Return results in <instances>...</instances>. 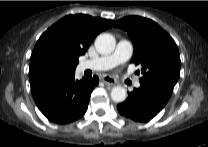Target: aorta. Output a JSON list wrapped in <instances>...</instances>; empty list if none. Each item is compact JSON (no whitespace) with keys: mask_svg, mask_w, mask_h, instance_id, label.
Masks as SVG:
<instances>
[{"mask_svg":"<svg viewBox=\"0 0 208 147\" xmlns=\"http://www.w3.org/2000/svg\"><path fill=\"white\" fill-rule=\"evenodd\" d=\"M116 40L109 33H102L95 40V48L100 54H110L114 51ZM111 98L114 102L120 103L127 98L126 90L121 86H116L111 90Z\"/></svg>","mask_w":208,"mask_h":147,"instance_id":"762f6f07","label":"aorta"}]
</instances>
